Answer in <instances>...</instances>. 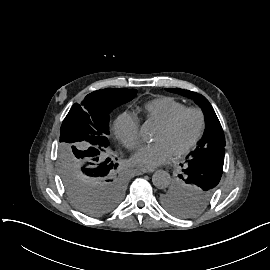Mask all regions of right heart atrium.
Here are the masks:
<instances>
[{"mask_svg": "<svg viewBox=\"0 0 270 270\" xmlns=\"http://www.w3.org/2000/svg\"><path fill=\"white\" fill-rule=\"evenodd\" d=\"M114 134L128 150H135L140 145L139 121L131 113H122L114 123Z\"/></svg>", "mask_w": 270, "mask_h": 270, "instance_id": "obj_1", "label": "right heart atrium"}]
</instances>
